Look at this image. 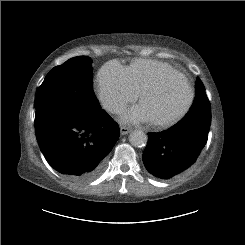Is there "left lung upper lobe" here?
Wrapping results in <instances>:
<instances>
[{"instance_id":"5c2ea615","label":"left lung upper lobe","mask_w":245,"mask_h":245,"mask_svg":"<svg viewBox=\"0 0 245 245\" xmlns=\"http://www.w3.org/2000/svg\"><path fill=\"white\" fill-rule=\"evenodd\" d=\"M195 87L194 102L188 113L176 124L177 126H209V100L199 79H197Z\"/></svg>"}]
</instances>
